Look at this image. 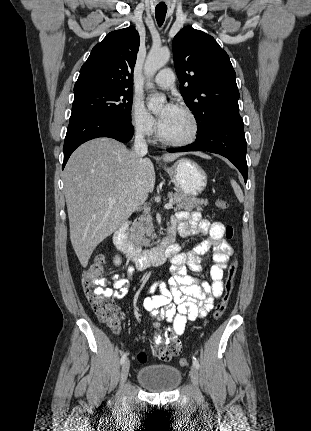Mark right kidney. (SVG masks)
<instances>
[{
  "instance_id": "right-kidney-1",
  "label": "right kidney",
  "mask_w": 311,
  "mask_h": 431,
  "mask_svg": "<svg viewBox=\"0 0 311 431\" xmlns=\"http://www.w3.org/2000/svg\"><path fill=\"white\" fill-rule=\"evenodd\" d=\"M115 265H121V257H119V255H115L114 259H113Z\"/></svg>"
}]
</instances>
